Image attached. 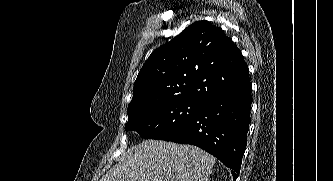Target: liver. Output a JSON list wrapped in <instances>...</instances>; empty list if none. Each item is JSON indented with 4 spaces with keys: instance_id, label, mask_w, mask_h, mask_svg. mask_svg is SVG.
I'll return each mask as SVG.
<instances>
[{
    "instance_id": "liver-1",
    "label": "liver",
    "mask_w": 333,
    "mask_h": 181,
    "mask_svg": "<svg viewBox=\"0 0 333 181\" xmlns=\"http://www.w3.org/2000/svg\"><path fill=\"white\" fill-rule=\"evenodd\" d=\"M214 156L193 145L145 140L128 150L101 181H208Z\"/></svg>"
}]
</instances>
